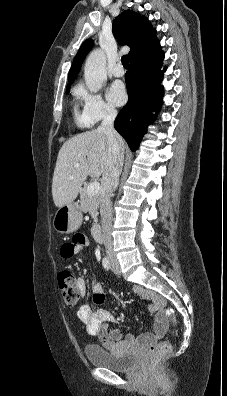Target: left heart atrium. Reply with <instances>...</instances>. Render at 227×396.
Masks as SVG:
<instances>
[{
  "label": "left heart atrium",
  "mask_w": 227,
  "mask_h": 396,
  "mask_svg": "<svg viewBox=\"0 0 227 396\" xmlns=\"http://www.w3.org/2000/svg\"><path fill=\"white\" fill-rule=\"evenodd\" d=\"M107 98L116 106L123 105L127 101V93L124 85L121 82L113 83L107 92Z\"/></svg>",
  "instance_id": "1"
}]
</instances>
